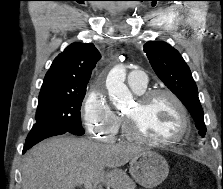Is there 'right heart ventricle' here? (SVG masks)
<instances>
[{"instance_id":"obj_1","label":"right heart ventricle","mask_w":223,"mask_h":189,"mask_svg":"<svg viewBox=\"0 0 223 189\" xmlns=\"http://www.w3.org/2000/svg\"><path fill=\"white\" fill-rule=\"evenodd\" d=\"M144 90H142V91H136L137 93H142ZM121 122H122V119H120V124H121ZM124 132H125V126H124Z\"/></svg>"}]
</instances>
